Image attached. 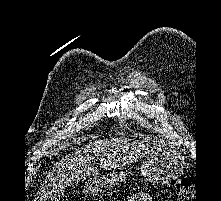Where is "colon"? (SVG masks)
Wrapping results in <instances>:
<instances>
[{
  "label": "colon",
  "mask_w": 221,
  "mask_h": 201,
  "mask_svg": "<svg viewBox=\"0 0 221 201\" xmlns=\"http://www.w3.org/2000/svg\"><path fill=\"white\" fill-rule=\"evenodd\" d=\"M194 190L190 179L183 178L179 184V197L181 201H190L193 199Z\"/></svg>",
  "instance_id": "obj_1"
}]
</instances>
